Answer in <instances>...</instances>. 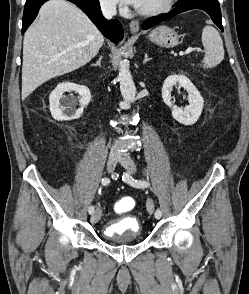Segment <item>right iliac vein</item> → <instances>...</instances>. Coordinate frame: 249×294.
I'll use <instances>...</instances> for the list:
<instances>
[{
	"mask_svg": "<svg viewBox=\"0 0 249 294\" xmlns=\"http://www.w3.org/2000/svg\"><path fill=\"white\" fill-rule=\"evenodd\" d=\"M118 161V154L115 151H111L108 160H107V170L109 173H112L115 170ZM102 216V211L100 208H97L96 211L91 216V223H97Z\"/></svg>",
	"mask_w": 249,
	"mask_h": 294,
	"instance_id": "1",
	"label": "right iliac vein"
}]
</instances>
